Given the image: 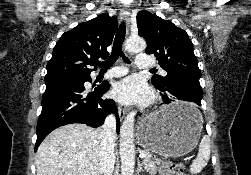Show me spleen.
<instances>
[{"label":"spleen","instance_id":"1","mask_svg":"<svg viewBox=\"0 0 251 175\" xmlns=\"http://www.w3.org/2000/svg\"><path fill=\"white\" fill-rule=\"evenodd\" d=\"M196 113L197 115H201L199 109H196ZM210 145L211 141L209 135H203L199 143L198 155L193 159V163L190 165L191 173H199V171H202L203 167L207 165L210 157Z\"/></svg>","mask_w":251,"mask_h":175}]
</instances>
